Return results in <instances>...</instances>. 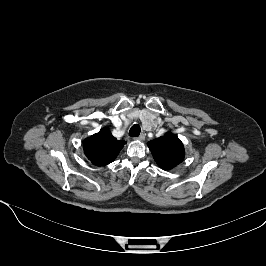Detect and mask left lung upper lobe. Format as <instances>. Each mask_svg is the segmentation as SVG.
<instances>
[{"instance_id": "obj_1", "label": "left lung upper lobe", "mask_w": 266, "mask_h": 266, "mask_svg": "<svg viewBox=\"0 0 266 266\" xmlns=\"http://www.w3.org/2000/svg\"><path fill=\"white\" fill-rule=\"evenodd\" d=\"M148 147L156 163L164 170H170L184 160L183 143L171 132L149 141Z\"/></svg>"}]
</instances>
